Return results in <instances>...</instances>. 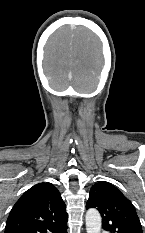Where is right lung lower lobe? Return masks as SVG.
Instances as JSON below:
<instances>
[{"mask_svg":"<svg viewBox=\"0 0 145 233\" xmlns=\"http://www.w3.org/2000/svg\"><path fill=\"white\" fill-rule=\"evenodd\" d=\"M66 228L67 226L62 231H60V233H67Z\"/></svg>","mask_w":145,"mask_h":233,"instance_id":"right-lung-lower-lobe-1","label":"right lung lower lobe"}]
</instances>
